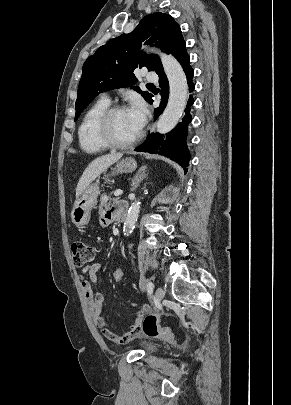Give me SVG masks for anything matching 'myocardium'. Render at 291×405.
Here are the masks:
<instances>
[{"mask_svg":"<svg viewBox=\"0 0 291 405\" xmlns=\"http://www.w3.org/2000/svg\"><path fill=\"white\" fill-rule=\"evenodd\" d=\"M124 110H127V107L125 105L110 106L104 111L99 119L97 127L98 136L101 141L109 148L128 149L136 145L142 137V132L139 131V133L128 142H120L114 138L112 132V120L117 113Z\"/></svg>","mask_w":291,"mask_h":405,"instance_id":"1","label":"myocardium"}]
</instances>
